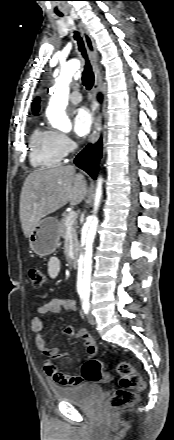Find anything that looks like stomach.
Returning a JSON list of instances; mask_svg holds the SVG:
<instances>
[{
  "label": "stomach",
  "mask_w": 174,
  "mask_h": 440,
  "mask_svg": "<svg viewBox=\"0 0 174 440\" xmlns=\"http://www.w3.org/2000/svg\"><path fill=\"white\" fill-rule=\"evenodd\" d=\"M31 250L39 256L52 254L60 239L59 222L54 217L42 219L28 237Z\"/></svg>",
  "instance_id": "0dacf381"
}]
</instances>
